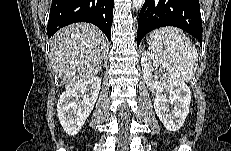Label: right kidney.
<instances>
[{
    "mask_svg": "<svg viewBox=\"0 0 231 151\" xmlns=\"http://www.w3.org/2000/svg\"><path fill=\"white\" fill-rule=\"evenodd\" d=\"M100 88L101 79L94 76L62 93L57 104V116L68 135H76L81 130L94 108Z\"/></svg>",
    "mask_w": 231,
    "mask_h": 151,
    "instance_id": "1",
    "label": "right kidney"
}]
</instances>
